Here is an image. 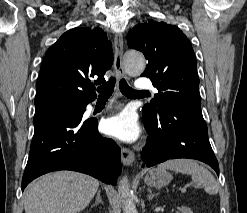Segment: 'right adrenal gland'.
Wrapping results in <instances>:
<instances>
[{
  "instance_id": "1",
  "label": "right adrenal gland",
  "mask_w": 247,
  "mask_h": 213,
  "mask_svg": "<svg viewBox=\"0 0 247 213\" xmlns=\"http://www.w3.org/2000/svg\"><path fill=\"white\" fill-rule=\"evenodd\" d=\"M100 193H101L100 190H98V191H97L96 200H95L93 206H96V205H98L99 203H100V204H103L102 197H101V194H100Z\"/></svg>"
}]
</instances>
